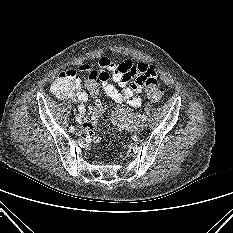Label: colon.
<instances>
[{
  "mask_svg": "<svg viewBox=\"0 0 233 233\" xmlns=\"http://www.w3.org/2000/svg\"><path fill=\"white\" fill-rule=\"evenodd\" d=\"M104 75L98 71H92L87 80L85 81V87L93 97H97L99 93V86ZM52 92L59 98H64L72 90V80L66 72L60 73L51 86ZM146 94L152 102H158L161 98V88L159 82L155 77H148L146 79ZM105 110V106L102 102L97 101L89 113L87 114L83 127L86 134L94 141L99 142V137L96 135L95 130L98 126L101 115Z\"/></svg>",
  "mask_w": 233,
  "mask_h": 233,
  "instance_id": "colon-1",
  "label": "colon"
}]
</instances>
